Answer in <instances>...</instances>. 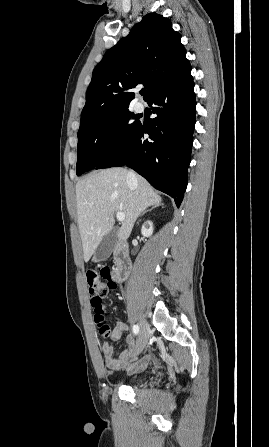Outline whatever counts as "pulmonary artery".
Returning <instances> with one entry per match:
<instances>
[{
  "label": "pulmonary artery",
  "mask_w": 269,
  "mask_h": 447,
  "mask_svg": "<svg viewBox=\"0 0 269 447\" xmlns=\"http://www.w3.org/2000/svg\"><path fill=\"white\" fill-rule=\"evenodd\" d=\"M144 107H145V105H144L143 102H138V103H137V110H138V111H143V110H144Z\"/></svg>",
  "instance_id": "e3ab8cb5"
}]
</instances>
